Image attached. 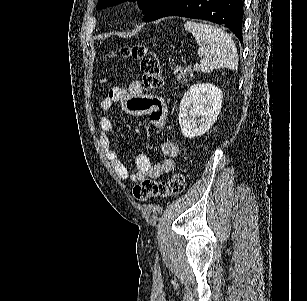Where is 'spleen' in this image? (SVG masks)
I'll return each instance as SVG.
<instances>
[{"instance_id":"spleen-1","label":"spleen","mask_w":307,"mask_h":301,"mask_svg":"<svg viewBox=\"0 0 307 301\" xmlns=\"http://www.w3.org/2000/svg\"><path fill=\"white\" fill-rule=\"evenodd\" d=\"M184 28L192 32L199 44L197 52L201 56L199 68L202 72H211L214 68L236 70L238 52L234 40L227 32L218 26L194 20H187Z\"/></svg>"}]
</instances>
